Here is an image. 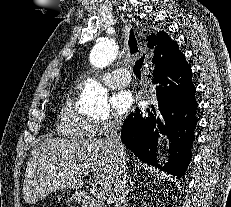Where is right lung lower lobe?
Returning a JSON list of instances; mask_svg holds the SVG:
<instances>
[{"instance_id":"98d812e1","label":"right lung lower lobe","mask_w":231,"mask_h":207,"mask_svg":"<svg viewBox=\"0 0 231 207\" xmlns=\"http://www.w3.org/2000/svg\"><path fill=\"white\" fill-rule=\"evenodd\" d=\"M153 63L155 95L151 98L152 105L137 108L125 119L121 138L140 160L159 166L155 158L156 140L159 133L167 136L169 157L161 169L180 178L191 161V146L197 124L191 69L185 57L165 61L160 57Z\"/></svg>"}]
</instances>
